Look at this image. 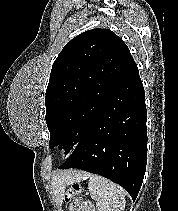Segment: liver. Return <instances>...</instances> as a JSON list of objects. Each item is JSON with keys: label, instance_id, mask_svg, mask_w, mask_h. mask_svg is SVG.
I'll list each match as a JSON object with an SVG mask.
<instances>
[{"label": "liver", "instance_id": "liver-1", "mask_svg": "<svg viewBox=\"0 0 178 211\" xmlns=\"http://www.w3.org/2000/svg\"><path fill=\"white\" fill-rule=\"evenodd\" d=\"M82 177L83 174L78 171L72 170L63 171L60 172L58 175L53 176L52 188L57 200H59V202L62 201L66 186L79 181Z\"/></svg>", "mask_w": 178, "mask_h": 211}]
</instances>
